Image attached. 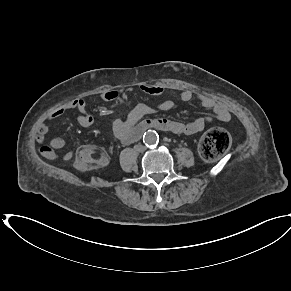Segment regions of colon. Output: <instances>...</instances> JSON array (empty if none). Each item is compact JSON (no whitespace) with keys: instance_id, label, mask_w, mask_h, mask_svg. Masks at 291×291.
Segmentation results:
<instances>
[{"instance_id":"colon-1","label":"colon","mask_w":291,"mask_h":291,"mask_svg":"<svg viewBox=\"0 0 291 291\" xmlns=\"http://www.w3.org/2000/svg\"><path fill=\"white\" fill-rule=\"evenodd\" d=\"M230 143V136L226 130L212 128L201 139L199 146L200 154L206 160H216L228 150ZM106 163V154L93 145L80 147L75 158V167L82 171L102 167Z\"/></svg>"}]
</instances>
